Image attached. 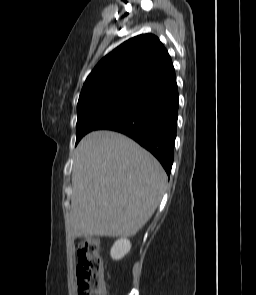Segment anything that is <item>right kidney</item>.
I'll use <instances>...</instances> for the list:
<instances>
[{
  "label": "right kidney",
  "mask_w": 256,
  "mask_h": 295,
  "mask_svg": "<svg viewBox=\"0 0 256 295\" xmlns=\"http://www.w3.org/2000/svg\"><path fill=\"white\" fill-rule=\"evenodd\" d=\"M130 249V241L126 238H121L114 243L110 254L113 260H120L129 253Z\"/></svg>",
  "instance_id": "right-kidney-1"
}]
</instances>
